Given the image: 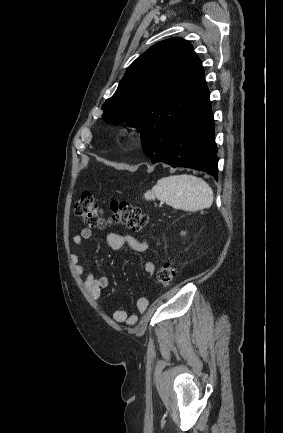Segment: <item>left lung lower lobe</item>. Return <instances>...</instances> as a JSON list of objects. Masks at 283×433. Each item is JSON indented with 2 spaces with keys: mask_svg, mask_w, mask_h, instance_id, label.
<instances>
[{
  "mask_svg": "<svg viewBox=\"0 0 283 433\" xmlns=\"http://www.w3.org/2000/svg\"><path fill=\"white\" fill-rule=\"evenodd\" d=\"M202 108L174 124L155 126L147 132L143 151L152 163L202 170L218 180V157L209 91L203 77Z\"/></svg>",
  "mask_w": 283,
  "mask_h": 433,
  "instance_id": "0a47b994",
  "label": "left lung lower lobe"
}]
</instances>
